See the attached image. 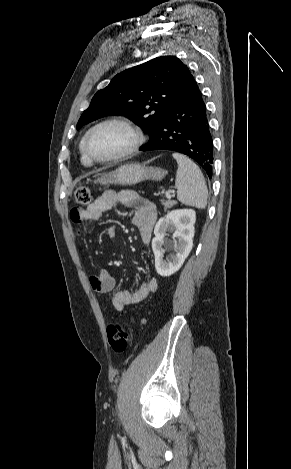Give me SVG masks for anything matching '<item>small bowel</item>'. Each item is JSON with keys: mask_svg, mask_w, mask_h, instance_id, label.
Segmentation results:
<instances>
[{"mask_svg": "<svg viewBox=\"0 0 291 469\" xmlns=\"http://www.w3.org/2000/svg\"><path fill=\"white\" fill-rule=\"evenodd\" d=\"M116 202H121L134 210L133 224L138 229L143 244H148L152 238V231L157 218L156 208L149 200L141 197L131 190L115 192L108 190L102 193L86 209H79L71 214V219L80 231L84 221L99 222L104 212L109 210ZM107 236L112 240L116 235V226L107 227ZM92 289L99 293L111 292L116 285L115 278L107 269H99L89 278ZM156 280L143 281L134 291H119L112 297V305L116 311H122L128 305L144 300L156 289Z\"/></svg>", "mask_w": 291, "mask_h": 469, "instance_id": "1", "label": "small bowel"}]
</instances>
